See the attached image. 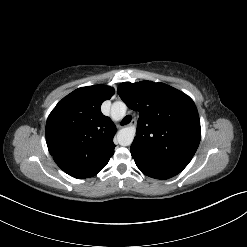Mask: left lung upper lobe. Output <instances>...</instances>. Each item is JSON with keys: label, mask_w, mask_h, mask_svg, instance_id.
Returning <instances> with one entry per match:
<instances>
[{"label": "left lung upper lobe", "mask_w": 247, "mask_h": 247, "mask_svg": "<svg viewBox=\"0 0 247 247\" xmlns=\"http://www.w3.org/2000/svg\"><path fill=\"white\" fill-rule=\"evenodd\" d=\"M118 94L129 108L140 114L130 150L181 172L191 161L201 139L199 115L193 100L171 86L151 81L121 83Z\"/></svg>", "instance_id": "obj_1"}]
</instances>
